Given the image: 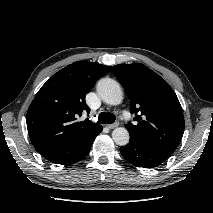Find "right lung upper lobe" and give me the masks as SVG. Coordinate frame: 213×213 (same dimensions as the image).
Here are the masks:
<instances>
[{"mask_svg": "<svg viewBox=\"0 0 213 213\" xmlns=\"http://www.w3.org/2000/svg\"><path fill=\"white\" fill-rule=\"evenodd\" d=\"M108 66L77 61L54 74L38 91L27 112V129L34 148L40 152L73 147L101 126L88 118H77L89 109L85 96Z\"/></svg>", "mask_w": 213, "mask_h": 213, "instance_id": "1", "label": "right lung upper lobe"}]
</instances>
